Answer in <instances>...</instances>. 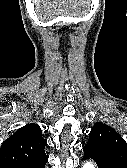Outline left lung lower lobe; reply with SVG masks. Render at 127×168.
Returning a JSON list of instances; mask_svg holds the SVG:
<instances>
[{
    "label": "left lung lower lobe",
    "instance_id": "0a47b994",
    "mask_svg": "<svg viewBox=\"0 0 127 168\" xmlns=\"http://www.w3.org/2000/svg\"><path fill=\"white\" fill-rule=\"evenodd\" d=\"M83 159H93L98 168H126L115 153L101 143H89L83 147Z\"/></svg>",
    "mask_w": 127,
    "mask_h": 168
}]
</instances>
